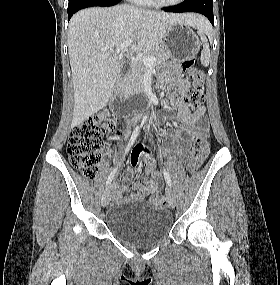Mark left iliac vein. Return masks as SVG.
<instances>
[{
	"label": "left iliac vein",
	"mask_w": 280,
	"mask_h": 285,
	"mask_svg": "<svg viewBox=\"0 0 280 285\" xmlns=\"http://www.w3.org/2000/svg\"><path fill=\"white\" fill-rule=\"evenodd\" d=\"M167 200L168 204L171 208H174L176 205V198L171 188H168L167 191Z\"/></svg>",
	"instance_id": "4c4485c4"
}]
</instances>
